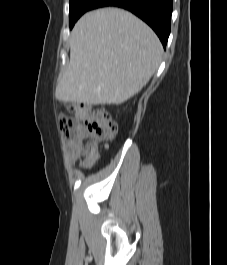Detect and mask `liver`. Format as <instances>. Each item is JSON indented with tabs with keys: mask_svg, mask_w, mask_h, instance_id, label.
<instances>
[{
	"mask_svg": "<svg viewBox=\"0 0 227 265\" xmlns=\"http://www.w3.org/2000/svg\"><path fill=\"white\" fill-rule=\"evenodd\" d=\"M163 48L157 35L132 13L104 8L86 13L70 39V62L56 87L65 103L121 104L158 69Z\"/></svg>",
	"mask_w": 227,
	"mask_h": 265,
	"instance_id": "6515ba94",
	"label": "liver"
}]
</instances>
